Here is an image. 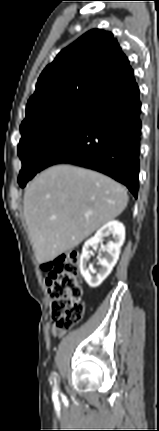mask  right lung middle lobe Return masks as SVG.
<instances>
[{
    "label": "right lung middle lobe",
    "instance_id": "obj_1",
    "mask_svg": "<svg viewBox=\"0 0 159 431\" xmlns=\"http://www.w3.org/2000/svg\"><path fill=\"white\" fill-rule=\"evenodd\" d=\"M86 117L88 115L83 113L58 112L20 127L22 137L18 145V155L23 166L18 182L21 187L40 171L47 151Z\"/></svg>",
    "mask_w": 159,
    "mask_h": 431
}]
</instances>
